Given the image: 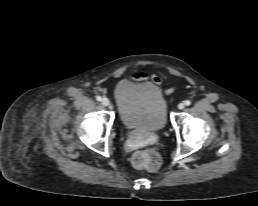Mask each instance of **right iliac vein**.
I'll return each instance as SVG.
<instances>
[{
    "label": "right iliac vein",
    "mask_w": 258,
    "mask_h": 206,
    "mask_svg": "<svg viewBox=\"0 0 258 206\" xmlns=\"http://www.w3.org/2000/svg\"><path fill=\"white\" fill-rule=\"evenodd\" d=\"M102 104H103L104 106H109V105H110L109 99H108V98H103V99H102Z\"/></svg>",
    "instance_id": "obj_1"
}]
</instances>
